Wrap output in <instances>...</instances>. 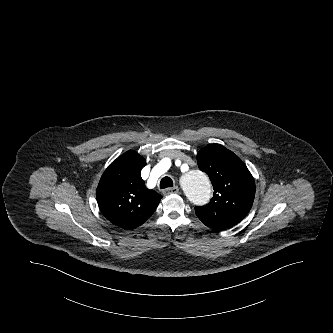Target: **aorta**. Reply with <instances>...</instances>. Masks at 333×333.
Wrapping results in <instances>:
<instances>
[{
	"label": "aorta",
	"mask_w": 333,
	"mask_h": 333,
	"mask_svg": "<svg viewBox=\"0 0 333 333\" xmlns=\"http://www.w3.org/2000/svg\"><path fill=\"white\" fill-rule=\"evenodd\" d=\"M183 191L188 200L195 206L206 204L212 197V186L207 174L199 169H189L183 174Z\"/></svg>",
	"instance_id": "1"
}]
</instances>
